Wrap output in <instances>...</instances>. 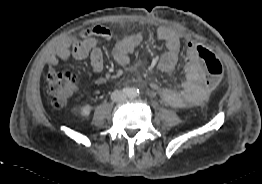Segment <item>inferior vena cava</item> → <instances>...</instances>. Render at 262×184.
I'll list each match as a JSON object with an SVG mask.
<instances>
[{"label":"inferior vena cava","instance_id":"1","mask_svg":"<svg viewBox=\"0 0 262 184\" xmlns=\"http://www.w3.org/2000/svg\"><path fill=\"white\" fill-rule=\"evenodd\" d=\"M125 99H126V95L119 90H115L111 94V100L114 101V102H120V101H123Z\"/></svg>","mask_w":262,"mask_h":184}]
</instances>
